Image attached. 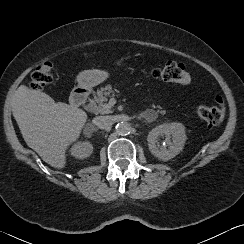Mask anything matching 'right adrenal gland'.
<instances>
[{
	"label": "right adrenal gland",
	"mask_w": 244,
	"mask_h": 244,
	"mask_svg": "<svg viewBox=\"0 0 244 244\" xmlns=\"http://www.w3.org/2000/svg\"><path fill=\"white\" fill-rule=\"evenodd\" d=\"M93 131H96L97 129L96 128H92Z\"/></svg>",
	"instance_id": "2a0ac1e0"
}]
</instances>
